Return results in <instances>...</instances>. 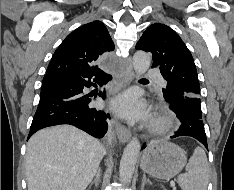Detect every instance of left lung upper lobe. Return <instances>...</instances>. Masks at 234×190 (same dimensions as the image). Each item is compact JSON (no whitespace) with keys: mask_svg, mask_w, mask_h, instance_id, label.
Masks as SVG:
<instances>
[{"mask_svg":"<svg viewBox=\"0 0 234 190\" xmlns=\"http://www.w3.org/2000/svg\"><path fill=\"white\" fill-rule=\"evenodd\" d=\"M136 49L152 53V67H159L168 83L162 90L165 100L202 119L196 66L179 35L164 24L154 23L143 33Z\"/></svg>","mask_w":234,"mask_h":190,"instance_id":"obj_1","label":"left lung upper lobe"}]
</instances>
